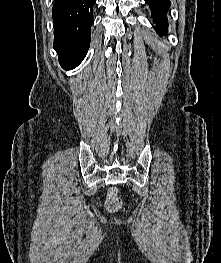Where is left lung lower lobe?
Returning a JSON list of instances; mask_svg holds the SVG:
<instances>
[{
    "label": "left lung lower lobe",
    "mask_w": 221,
    "mask_h": 263,
    "mask_svg": "<svg viewBox=\"0 0 221 263\" xmlns=\"http://www.w3.org/2000/svg\"><path fill=\"white\" fill-rule=\"evenodd\" d=\"M152 10L153 22H156V30L160 35L167 32L166 13L171 5L170 0H145Z\"/></svg>",
    "instance_id": "obj_1"
}]
</instances>
